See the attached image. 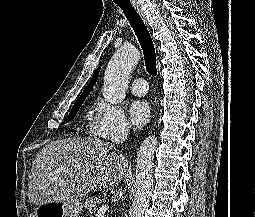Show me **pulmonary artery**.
<instances>
[{
  "instance_id": "e3ab8cb5",
  "label": "pulmonary artery",
  "mask_w": 255,
  "mask_h": 217,
  "mask_svg": "<svg viewBox=\"0 0 255 217\" xmlns=\"http://www.w3.org/2000/svg\"><path fill=\"white\" fill-rule=\"evenodd\" d=\"M131 92L136 96H143L148 92V85L144 78H136L130 85Z\"/></svg>"
}]
</instances>
